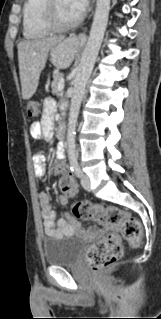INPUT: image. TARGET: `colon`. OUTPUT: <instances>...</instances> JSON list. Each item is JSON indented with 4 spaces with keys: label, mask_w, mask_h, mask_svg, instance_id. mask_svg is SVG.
Instances as JSON below:
<instances>
[{
    "label": "colon",
    "mask_w": 161,
    "mask_h": 319,
    "mask_svg": "<svg viewBox=\"0 0 161 319\" xmlns=\"http://www.w3.org/2000/svg\"><path fill=\"white\" fill-rule=\"evenodd\" d=\"M27 114L30 118H37L41 114L40 105L31 102L27 106ZM61 187L66 191L73 188V183L69 178H62ZM75 217L85 220H105L110 224L118 225L121 235L112 233L105 238L95 242L88 249L86 261L94 274H100L104 270L113 266L122 257V239L132 245H137L141 241V228L139 222L132 217H124L122 209L116 206H103L90 202H75L72 208Z\"/></svg>",
    "instance_id": "5ec220e1"
}]
</instances>
